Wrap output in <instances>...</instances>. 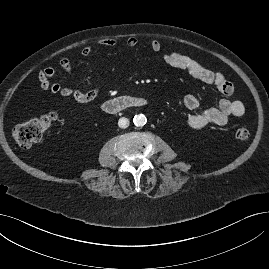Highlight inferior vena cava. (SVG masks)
I'll return each instance as SVG.
<instances>
[{
	"label": "inferior vena cava",
	"mask_w": 269,
	"mask_h": 269,
	"mask_svg": "<svg viewBox=\"0 0 269 269\" xmlns=\"http://www.w3.org/2000/svg\"><path fill=\"white\" fill-rule=\"evenodd\" d=\"M118 126L120 128H127L129 126V119L125 117L120 118L118 121Z\"/></svg>",
	"instance_id": "1"
}]
</instances>
